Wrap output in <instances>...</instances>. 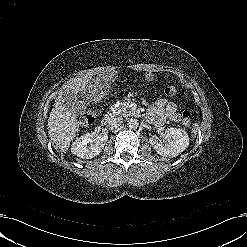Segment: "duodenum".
Wrapping results in <instances>:
<instances>
[{"label": "duodenum", "instance_id": "1", "mask_svg": "<svg viewBox=\"0 0 247 247\" xmlns=\"http://www.w3.org/2000/svg\"><path fill=\"white\" fill-rule=\"evenodd\" d=\"M111 119H112V115H111V114H107V115L104 117V119H103V121H102V124H103V125H107V124L111 121Z\"/></svg>", "mask_w": 247, "mask_h": 247}]
</instances>
